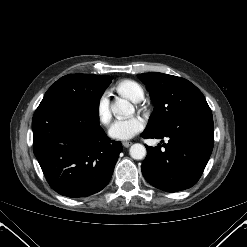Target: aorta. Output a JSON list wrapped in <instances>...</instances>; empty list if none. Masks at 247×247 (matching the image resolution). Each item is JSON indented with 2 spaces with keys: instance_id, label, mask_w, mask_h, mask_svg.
Instances as JSON below:
<instances>
[{
  "instance_id": "obj_1",
  "label": "aorta",
  "mask_w": 247,
  "mask_h": 247,
  "mask_svg": "<svg viewBox=\"0 0 247 247\" xmlns=\"http://www.w3.org/2000/svg\"><path fill=\"white\" fill-rule=\"evenodd\" d=\"M111 108L117 117H128L134 112L132 104L125 99L115 101ZM129 152L130 156L135 160H142L146 156L145 146L139 143L133 144Z\"/></svg>"
}]
</instances>
